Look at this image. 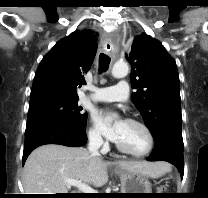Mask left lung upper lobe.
<instances>
[{
  "label": "left lung upper lobe",
  "instance_id": "left-lung-upper-lobe-1",
  "mask_svg": "<svg viewBox=\"0 0 208 198\" xmlns=\"http://www.w3.org/2000/svg\"><path fill=\"white\" fill-rule=\"evenodd\" d=\"M127 60L132 101L142 114L155 143L172 138L183 144L180 81L176 62L160 41L143 33L135 37Z\"/></svg>",
  "mask_w": 208,
  "mask_h": 198
}]
</instances>
